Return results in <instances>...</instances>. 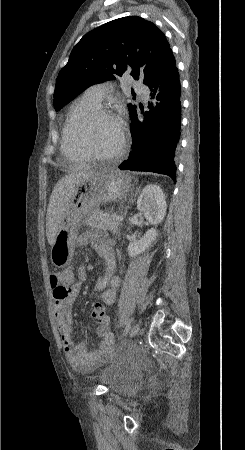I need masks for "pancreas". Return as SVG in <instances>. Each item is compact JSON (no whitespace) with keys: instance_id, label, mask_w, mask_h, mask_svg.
<instances>
[{"instance_id":"cf45deb5","label":"pancreas","mask_w":245,"mask_h":450,"mask_svg":"<svg viewBox=\"0 0 245 450\" xmlns=\"http://www.w3.org/2000/svg\"><path fill=\"white\" fill-rule=\"evenodd\" d=\"M84 224L91 228L109 230L113 234H117L119 232L120 222L114 220L111 215H106L100 211H93L85 219Z\"/></svg>"}]
</instances>
